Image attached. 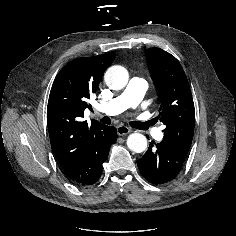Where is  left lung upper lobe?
I'll return each instance as SVG.
<instances>
[{
  "label": "left lung upper lobe",
  "mask_w": 236,
  "mask_h": 236,
  "mask_svg": "<svg viewBox=\"0 0 236 236\" xmlns=\"http://www.w3.org/2000/svg\"><path fill=\"white\" fill-rule=\"evenodd\" d=\"M151 77L158 89L160 113L166 126L163 143L186 156L192 143L195 109L190 86L179 61L160 48L146 50Z\"/></svg>",
  "instance_id": "1"
}]
</instances>
